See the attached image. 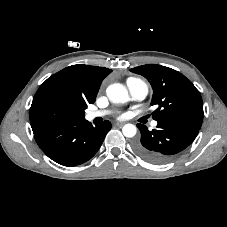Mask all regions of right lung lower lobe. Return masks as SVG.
Segmentation results:
<instances>
[{
    "mask_svg": "<svg viewBox=\"0 0 227 227\" xmlns=\"http://www.w3.org/2000/svg\"><path fill=\"white\" fill-rule=\"evenodd\" d=\"M111 124L104 121L93 127L81 119L47 129L33 130L42 151L63 166H76L91 159L101 147Z\"/></svg>",
    "mask_w": 227,
    "mask_h": 227,
    "instance_id": "1",
    "label": "right lung lower lobe"
}]
</instances>
